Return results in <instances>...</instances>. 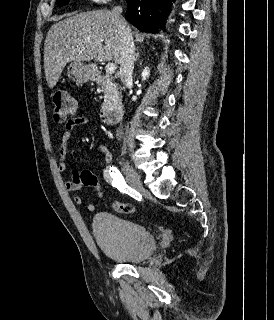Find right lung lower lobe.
<instances>
[{
	"mask_svg": "<svg viewBox=\"0 0 274 320\" xmlns=\"http://www.w3.org/2000/svg\"><path fill=\"white\" fill-rule=\"evenodd\" d=\"M172 1L174 0H126L125 18L141 31L156 33L165 22Z\"/></svg>",
	"mask_w": 274,
	"mask_h": 320,
	"instance_id": "right-lung-lower-lobe-1",
	"label": "right lung lower lobe"
}]
</instances>
